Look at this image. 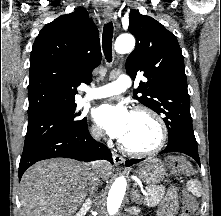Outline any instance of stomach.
Segmentation results:
<instances>
[{
    "label": "stomach",
    "instance_id": "stomach-1",
    "mask_svg": "<svg viewBox=\"0 0 221 216\" xmlns=\"http://www.w3.org/2000/svg\"><path fill=\"white\" fill-rule=\"evenodd\" d=\"M136 175L148 186L160 183L165 175L166 169L159 159H149L135 170Z\"/></svg>",
    "mask_w": 221,
    "mask_h": 216
}]
</instances>
